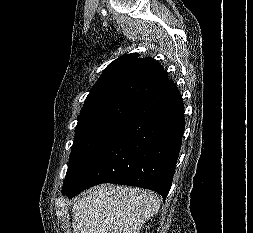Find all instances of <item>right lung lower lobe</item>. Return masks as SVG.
I'll list each match as a JSON object with an SVG mask.
<instances>
[{
    "instance_id": "right-lung-lower-lobe-1",
    "label": "right lung lower lobe",
    "mask_w": 253,
    "mask_h": 233,
    "mask_svg": "<svg viewBox=\"0 0 253 233\" xmlns=\"http://www.w3.org/2000/svg\"><path fill=\"white\" fill-rule=\"evenodd\" d=\"M184 127L183 101L168 79L132 105L65 179L62 193L73 197L94 185L113 183L154 190L165 200Z\"/></svg>"
}]
</instances>
